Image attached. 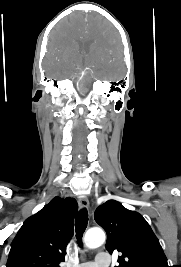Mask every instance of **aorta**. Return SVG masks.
<instances>
[{
    "instance_id": "obj_1",
    "label": "aorta",
    "mask_w": 181,
    "mask_h": 267,
    "mask_svg": "<svg viewBox=\"0 0 181 267\" xmlns=\"http://www.w3.org/2000/svg\"><path fill=\"white\" fill-rule=\"evenodd\" d=\"M105 240L106 235L101 229H89L84 236V244L90 249L98 248Z\"/></svg>"
}]
</instances>
